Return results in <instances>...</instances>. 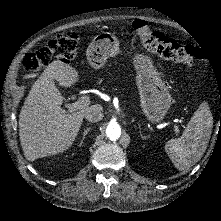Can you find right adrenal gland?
Returning a JSON list of instances; mask_svg holds the SVG:
<instances>
[{
    "label": "right adrenal gland",
    "mask_w": 221,
    "mask_h": 221,
    "mask_svg": "<svg viewBox=\"0 0 221 221\" xmlns=\"http://www.w3.org/2000/svg\"><path fill=\"white\" fill-rule=\"evenodd\" d=\"M90 130H91V127H87V128L84 130V132H83V137H82L81 142L79 143V146H82L83 141H84L86 135L89 133Z\"/></svg>",
    "instance_id": "obj_1"
}]
</instances>
